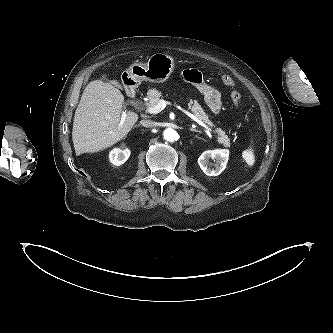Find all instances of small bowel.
<instances>
[{"instance_id":"small-bowel-1","label":"small bowel","mask_w":333,"mask_h":333,"mask_svg":"<svg viewBox=\"0 0 333 333\" xmlns=\"http://www.w3.org/2000/svg\"><path fill=\"white\" fill-rule=\"evenodd\" d=\"M184 81L194 85L198 91L204 96L209 108L214 113H219L222 107L221 94L213 85L205 81L202 74L195 69L185 70L182 74Z\"/></svg>"}]
</instances>
